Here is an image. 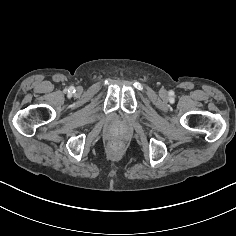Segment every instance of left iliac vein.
Instances as JSON below:
<instances>
[{
    "label": "left iliac vein",
    "mask_w": 236,
    "mask_h": 236,
    "mask_svg": "<svg viewBox=\"0 0 236 236\" xmlns=\"http://www.w3.org/2000/svg\"><path fill=\"white\" fill-rule=\"evenodd\" d=\"M159 95L162 97V98H165L167 96V91L165 89H160L159 90Z\"/></svg>",
    "instance_id": "obj_1"
}]
</instances>
